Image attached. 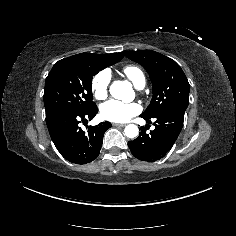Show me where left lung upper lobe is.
Wrapping results in <instances>:
<instances>
[{
	"label": "left lung upper lobe",
	"mask_w": 236,
	"mask_h": 236,
	"mask_svg": "<svg viewBox=\"0 0 236 236\" xmlns=\"http://www.w3.org/2000/svg\"><path fill=\"white\" fill-rule=\"evenodd\" d=\"M149 73L153 96L141 117H153L175 106L187 108L190 85L181 67L171 58L152 50L124 52Z\"/></svg>",
	"instance_id": "left-lung-upper-lobe-1"
}]
</instances>
